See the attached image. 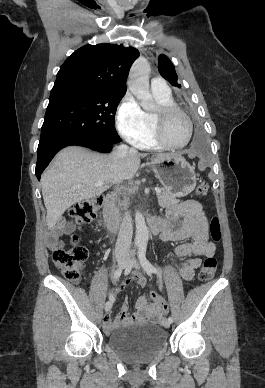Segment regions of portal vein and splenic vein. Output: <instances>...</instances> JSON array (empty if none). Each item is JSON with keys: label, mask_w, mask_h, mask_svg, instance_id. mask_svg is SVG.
<instances>
[{"label": "portal vein and splenic vein", "mask_w": 265, "mask_h": 388, "mask_svg": "<svg viewBox=\"0 0 265 388\" xmlns=\"http://www.w3.org/2000/svg\"><path fill=\"white\" fill-rule=\"evenodd\" d=\"M104 182H94V184H92V186H103ZM155 192H157V194H161V190L160 188H155Z\"/></svg>", "instance_id": "1"}]
</instances>
